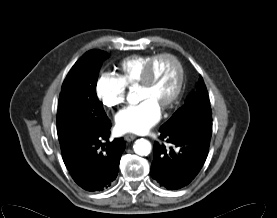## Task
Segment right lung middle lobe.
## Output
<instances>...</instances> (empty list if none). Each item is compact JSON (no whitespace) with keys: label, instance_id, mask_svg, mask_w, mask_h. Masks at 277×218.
<instances>
[{"label":"right lung middle lobe","instance_id":"dd1d6c3e","mask_svg":"<svg viewBox=\"0 0 277 218\" xmlns=\"http://www.w3.org/2000/svg\"><path fill=\"white\" fill-rule=\"evenodd\" d=\"M107 56L100 50L86 52L64 80L57 112V134L62 153L93 135L108 121L96 95L98 73Z\"/></svg>","mask_w":277,"mask_h":218}]
</instances>
